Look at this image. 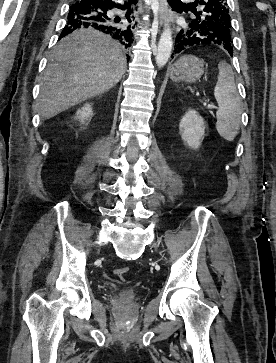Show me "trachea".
I'll list each match as a JSON object with an SVG mask.
<instances>
[{
    "label": "trachea",
    "mask_w": 276,
    "mask_h": 363,
    "mask_svg": "<svg viewBox=\"0 0 276 363\" xmlns=\"http://www.w3.org/2000/svg\"><path fill=\"white\" fill-rule=\"evenodd\" d=\"M168 2L171 5H182V6H188V5H190V4H185V3L181 2V0H168Z\"/></svg>",
    "instance_id": "1"
}]
</instances>
